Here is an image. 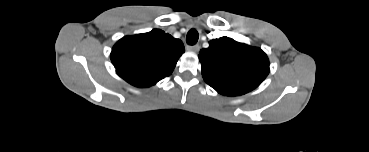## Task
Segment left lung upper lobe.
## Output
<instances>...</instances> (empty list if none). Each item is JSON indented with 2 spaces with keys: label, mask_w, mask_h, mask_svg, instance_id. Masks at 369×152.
Returning <instances> with one entry per match:
<instances>
[{
  "label": "left lung upper lobe",
  "mask_w": 369,
  "mask_h": 152,
  "mask_svg": "<svg viewBox=\"0 0 369 152\" xmlns=\"http://www.w3.org/2000/svg\"><path fill=\"white\" fill-rule=\"evenodd\" d=\"M201 71L207 84L226 96H239L258 87L268 75L267 55L229 37L213 39L200 51Z\"/></svg>",
  "instance_id": "5c2ea615"
}]
</instances>
